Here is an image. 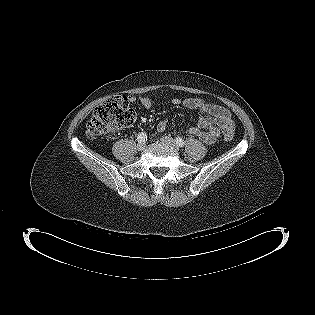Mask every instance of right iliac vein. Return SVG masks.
Here are the masks:
<instances>
[{
    "instance_id": "right-iliac-vein-1",
    "label": "right iliac vein",
    "mask_w": 315,
    "mask_h": 315,
    "mask_svg": "<svg viewBox=\"0 0 315 315\" xmlns=\"http://www.w3.org/2000/svg\"><path fill=\"white\" fill-rule=\"evenodd\" d=\"M137 149H138L139 151H143V150L145 149V143H138Z\"/></svg>"
}]
</instances>
